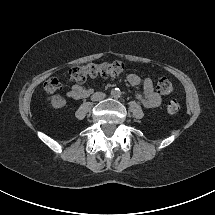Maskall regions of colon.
Segmentation results:
<instances>
[{
  "mask_svg": "<svg viewBox=\"0 0 215 215\" xmlns=\"http://www.w3.org/2000/svg\"><path fill=\"white\" fill-rule=\"evenodd\" d=\"M124 64L121 62H105L101 64H87L84 66H75L70 69L68 77L77 82H83L87 77L104 76L117 77L124 71ZM60 83L58 79H48L44 84V89L48 93L47 104L53 109L64 106L65 101L58 93ZM174 87L171 81L165 77L160 78L157 82V90L161 94H170ZM167 111L174 114L179 111L180 104L175 99H170L166 105Z\"/></svg>",
  "mask_w": 215,
  "mask_h": 215,
  "instance_id": "1",
  "label": "colon"
}]
</instances>
